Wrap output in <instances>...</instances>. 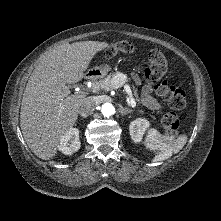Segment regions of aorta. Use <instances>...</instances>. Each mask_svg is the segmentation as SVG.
I'll list each match as a JSON object with an SVG mask.
<instances>
[{
    "instance_id": "aorta-1",
    "label": "aorta",
    "mask_w": 221,
    "mask_h": 221,
    "mask_svg": "<svg viewBox=\"0 0 221 221\" xmlns=\"http://www.w3.org/2000/svg\"><path fill=\"white\" fill-rule=\"evenodd\" d=\"M114 107L111 103H104L101 106V112L104 116H111L114 114Z\"/></svg>"
}]
</instances>
